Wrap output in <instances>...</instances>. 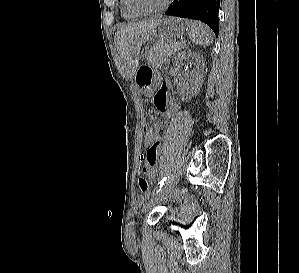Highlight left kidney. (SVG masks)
<instances>
[{"instance_id": "1", "label": "left kidney", "mask_w": 299, "mask_h": 273, "mask_svg": "<svg viewBox=\"0 0 299 273\" xmlns=\"http://www.w3.org/2000/svg\"><path fill=\"white\" fill-rule=\"evenodd\" d=\"M192 59L195 63V68L190 73V81L189 83L181 84L178 89L183 94H196L203 83V70L205 67V63L203 57L192 51H183L178 54L174 63L177 68H181L184 60Z\"/></svg>"}]
</instances>
